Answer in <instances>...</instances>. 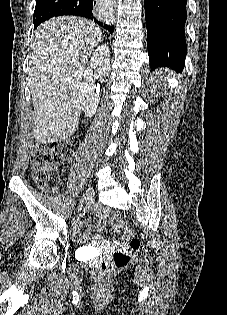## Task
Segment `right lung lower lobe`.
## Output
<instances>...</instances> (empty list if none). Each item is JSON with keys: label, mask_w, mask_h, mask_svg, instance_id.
Returning a JSON list of instances; mask_svg holds the SVG:
<instances>
[{"label": "right lung lower lobe", "mask_w": 227, "mask_h": 315, "mask_svg": "<svg viewBox=\"0 0 227 315\" xmlns=\"http://www.w3.org/2000/svg\"><path fill=\"white\" fill-rule=\"evenodd\" d=\"M94 5H95V2L93 0H71L69 3L63 6L60 10H58L57 13L54 15V17L63 16V15H75V16L85 17V18L94 20L100 26L104 27L110 32H113L114 31L113 26H109L106 24L103 25L102 22L95 19L92 13V9Z\"/></svg>", "instance_id": "98d812e1"}]
</instances>
